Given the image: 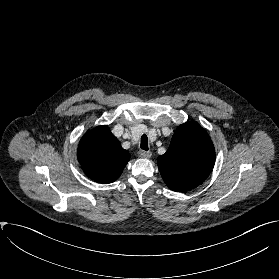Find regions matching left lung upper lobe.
I'll list each match as a JSON object with an SVG mask.
<instances>
[{
  "mask_svg": "<svg viewBox=\"0 0 279 279\" xmlns=\"http://www.w3.org/2000/svg\"><path fill=\"white\" fill-rule=\"evenodd\" d=\"M214 162L213 143L206 131L195 122L180 125L167 152L157 159L163 180L176 192L199 186L210 174Z\"/></svg>",
  "mask_w": 279,
  "mask_h": 279,
  "instance_id": "1",
  "label": "left lung upper lobe"
}]
</instances>
